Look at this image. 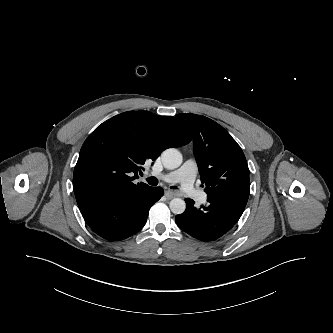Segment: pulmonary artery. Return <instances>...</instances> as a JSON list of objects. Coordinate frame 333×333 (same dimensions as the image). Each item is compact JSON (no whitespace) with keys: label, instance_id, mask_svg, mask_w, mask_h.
I'll use <instances>...</instances> for the list:
<instances>
[{"label":"pulmonary artery","instance_id":"obj_1","mask_svg":"<svg viewBox=\"0 0 333 333\" xmlns=\"http://www.w3.org/2000/svg\"><path fill=\"white\" fill-rule=\"evenodd\" d=\"M197 174V164L193 159H188L184 162V164L177 170L154 174L160 180L167 183H181L182 189L184 192L193 196L197 200H205L206 194L204 192L199 191L194 186L195 177Z\"/></svg>","mask_w":333,"mask_h":333}]
</instances>
